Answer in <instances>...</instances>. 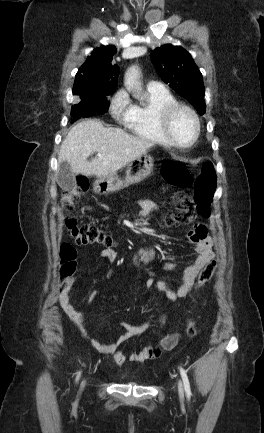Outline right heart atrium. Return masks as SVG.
<instances>
[{
  "label": "right heart atrium",
  "instance_id": "1",
  "mask_svg": "<svg viewBox=\"0 0 264 433\" xmlns=\"http://www.w3.org/2000/svg\"><path fill=\"white\" fill-rule=\"evenodd\" d=\"M132 104L129 101L125 90L117 91L110 100L109 111L111 115L119 121H124L128 118Z\"/></svg>",
  "mask_w": 264,
  "mask_h": 433
}]
</instances>
